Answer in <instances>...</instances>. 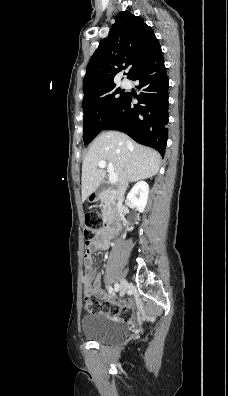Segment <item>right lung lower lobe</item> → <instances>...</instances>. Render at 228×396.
Returning a JSON list of instances; mask_svg holds the SVG:
<instances>
[{
	"instance_id": "right-lung-lower-lobe-1",
	"label": "right lung lower lobe",
	"mask_w": 228,
	"mask_h": 396,
	"mask_svg": "<svg viewBox=\"0 0 228 396\" xmlns=\"http://www.w3.org/2000/svg\"><path fill=\"white\" fill-rule=\"evenodd\" d=\"M132 80H139L137 88L142 91L138 104H133V96L127 93L103 129H118L163 156L168 134L169 79L160 45Z\"/></svg>"
}]
</instances>
